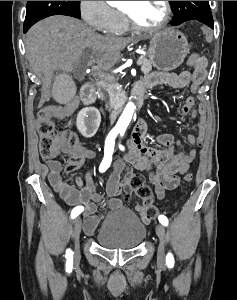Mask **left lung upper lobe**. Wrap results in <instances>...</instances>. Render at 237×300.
<instances>
[{
	"instance_id": "1",
	"label": "left lung upper lobe",
	"mask_w": 237,
	"mask_h": 300,
	"mask_svg": "<svg viewBox=\"0 0 237 300\" xmlns=\"http://www.w3.org/2000/svg\"><path fill=\"white\" fill-rule=\"evenodd\" d=\"M174 18L171 22L176 26L185 21L197 20L208 25L213 22L209 1H170Z\"/></svg>"
}]
</instances>
